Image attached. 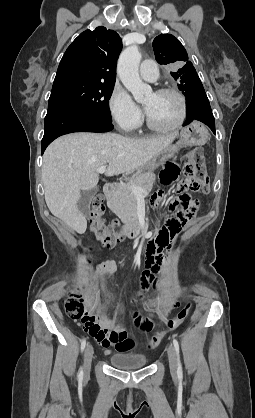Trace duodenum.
Wrapping results in <instances>:
<instances>
[{
	"label": "duodenum",
	"mask_w": 255,
	"mask_h": 418,
	"mask_svg": "<svg viewBox=\"0 0 255 418\" xmlns=\"http://www.w3.org/2000/svg\"><path fill=\"white\" fill-rule=\"evenodd\" d=\"M117 191V183H107L104 185L103 192L106 198H112ZM121 235L128 238H135L143 233V225L137 217L126 219L120 226Z\"/></svg>",
	"instance_id": "duodenum-1"
}]
</instances>
